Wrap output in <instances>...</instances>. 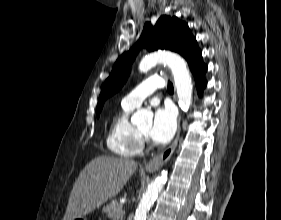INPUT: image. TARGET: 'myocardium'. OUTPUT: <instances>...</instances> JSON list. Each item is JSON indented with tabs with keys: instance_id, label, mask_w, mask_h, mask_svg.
I'll return each mask as SVG.
<instances>
[{
	"instance_id": "1",
	"label": "myocardium",
	"mask_w": 281,
	"mask_h": 220,
	"mask_svg": "<svg viewBox=\"0 0 281 220\" xmlns=\"http://www.w3.org/2000/svg\"><path fill=\"white\" fill-rule=\"evenodd\" d=\"M138 131H139V135H140L141 140H142V141H146V140H147L146 134H144V133L141 132L140 130H138Z\"/></svg>"
}]
</instances>
